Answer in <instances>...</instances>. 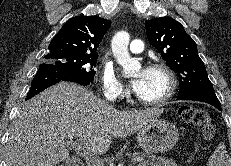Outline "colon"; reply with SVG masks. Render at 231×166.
<instances>
[{
	"instance_id": "1",
	"label": "colon",
	"mask_w": 231,
	"mask_h": 166,
	"mask_svg": "<svg viewBox=\"0 0 231 166\" xmlns=\"http://www.w3.org/2000/svg\"><path fill=\"white\" fill-rule=\"evenodd\" d=\"M179 116L183 121L201 128L207 139L214 135V126L209 113L205 109L184 105L179 109Z\"/></svg>"
}]
</instances>
